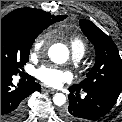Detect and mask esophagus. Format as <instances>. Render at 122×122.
<instances>
[{"mask_svg":"<svg viewBox=\"0 0 122 122\" xmlns=\"http://www.w3.org/2000/svg\"><path fill=\"white\" fill-rule=\"evenodd\" d=\"M42 91H43V92H47V93H51V94H53V93L56 92V90L51 89V88L46 87V86L42 87Z\"/></svg>","mask_w":122,"mask_h":122,"instance_id":"esophagus-1","label":"esophagus"}]
</instances>
